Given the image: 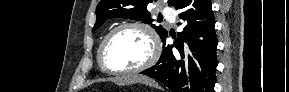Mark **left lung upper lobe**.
<instances>
[{"instance_id":"1","label":"left lung upper lobe","mask_w":289,"mask_h":92,"mask_svg":"<svg viewBox=\"0 0 289 92\" xmlns=\"http://www.w3.org/2000/svg\"><path fill=\"white\" fill-rule=\"evenodd\" d=\"M177 0H168V5L173 6ZM151 0H101L96 7L97 21L92 29H98L108 18H126L151 24V27L163 39L167 31L161 26L152 24L151 14L147 11V5Z\"/></svg>"}]
</instances>
